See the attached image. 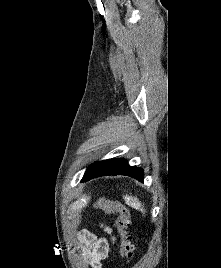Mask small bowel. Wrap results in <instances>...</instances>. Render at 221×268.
Instances as JSON below:
<instances>
[{
  "label": "small bowel",
  "mask_w": 221,
  "mask_h": 268,
  "mask_svg": "<svg viewBox=\"0 0 221 268\" xmlns=\"http://www.w3.org/2000/svg\"><path fill=\"white\" fill-rule=\"evenodd\" d=\"M104 230L112 235L109 227L104 226ZM78 240L82 245L83 257L88 264L92 268H101V262L107 257L110 249L109 241L104 238H97L88 230H82L78 235ZM111 240L114 241L113 235Z\"/></svg>",
  "instance_id": "1"
}]
</instances>
